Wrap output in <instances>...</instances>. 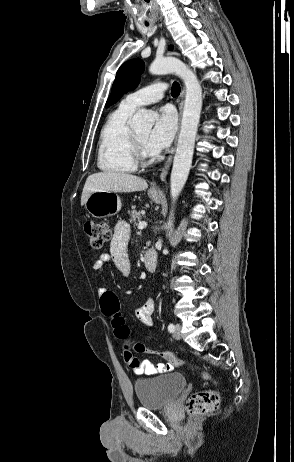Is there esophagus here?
I'll return each mask as SVG.
<instances>
[{
    "instance_id": "1",
    "label": "esophagus",
    "mask_w": 294,
    "mask_h": 462,
    "mask_svg": "<svg viewBox=\"0 0 294 462\" xmlns=\"http://www.w3.org/2000/svg\"><path fill=\"white\" fill-rule=\"evenodd\" d=\"M184 95H185V90L184 88L182 89L181 91V94H180V107H179V111H180V117H181V113H182V106H183V100H184ZM176 141H177V138H176ZM176 141H175V145H176ZM175 151V147L171 150V153L165 163V166L162 168V172H161V180L162 181H165L166 179V176L168 174V170H169V167H170V164H171V161H172V156H173V153ZM152 189L154 191H157L159 188L158 186H153Z\"/></svg>"
}]
</instances>
